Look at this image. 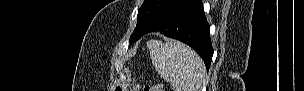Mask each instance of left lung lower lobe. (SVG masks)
<instances>
[{"instance_id": "1", "label": "left lung lower lobe", "mask_w": 304, "mask_h": 91, "mask_svg": "<svg viewBox=\"0 0 304 91\" xmlns=\"http://www.w3.org/2000/svg\"><path fill=\"white\" fill-rule=\"evenodd\" d=\"M153 31L189 45L201 56L209 70L214 51L202 0H171L158 20L143 35Z\"/></svg>"}]
</instances>
